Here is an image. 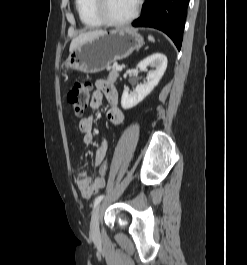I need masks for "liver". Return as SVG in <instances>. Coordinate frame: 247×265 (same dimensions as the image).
<instances>
[{
  "label": "liver",
  "instance_id": "obj_1",
  "mask_svg": "<svg viewBox=\"0 0 247 265\" xmlns=\"http://www.w3.org/2000/svg\"><path fill=\"white\" fill-rule=\"evenodd\" d=\"M104 32L105 31H102V30H96V31H90V32H86V33H82V34L78 35L76 38H74L71 41L69 50L70 51L74 50L81 43H83L87 40L93 39L95 37H98L99 35L103 34Z\"/></svg>",
  "mask_w": 247,
  "mask_h": 265
}]
</instances>
